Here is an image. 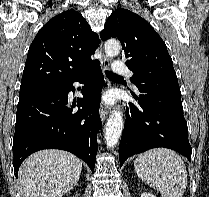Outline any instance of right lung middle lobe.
Returning <instances> with one entry per match:
<instances>
[{
  "mask_svg": "<svg viewBox=\"0 0 209 197\" xmlns=\"http://www.w3.org/2000/svg\"><path fill=\"white\" fill-rule=\"evenodd\" d=\"M59 87H40V88H34V89L20 90L19 99H23V98H26L35 94L51 91Z\"/></svg>",
  "mask_w": 209,
  "mask_h": 197,
  "instance_id": "1",
  "label": "right lung middle lobe"
}]
</instances>
